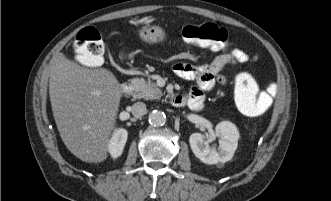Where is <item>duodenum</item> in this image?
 Returning a JSON list of instances; mask_svg holds the SVG:
<instances>
[{"label": "duodenum", "instance_id": "duodenum-1", "mask_svg": "<svg viewBox=\"0 0 331 201\" xmlns=\"http://www.w3.org/2000/svg\"><path fill=\"white\" fill-rule=\"evenodd\" d=\"M132 87H133V85L131 82H129V81L123 82L120 86V91H121L122 95H124V96L128 95L131 92ZM170 102L173 106L179 107L184 104V99H183L182 95L173 94L170 97Z\"/></svg>", "mask_w": 331, "mask_h": 201}]
</instances>
